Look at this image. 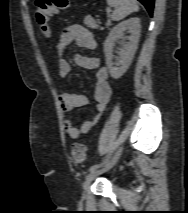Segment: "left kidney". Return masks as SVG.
<instances>
[{"instance_id":"1","label":"left kidney","mask_w":188,"mask_h":213,"mask_svg":"<svg viewBox=\"0 0 188 213\" xmlns=\"http://www.w3.org/2000/svg\"><path fill=\"white\" fill-rule=\"evenodd\" d=\"M140 30V19L137 17L122 21L110 30V33L104 42V52L106 57V65L112 78L119 79L130 67L138 47ZM126 31L131 34L128 37L129 42H124V35ZM117 39H122L123 46L120 53L121 60L118 62L119 67L114 66L112 53L114 42Z\"/></svg>"}]
</instances>
